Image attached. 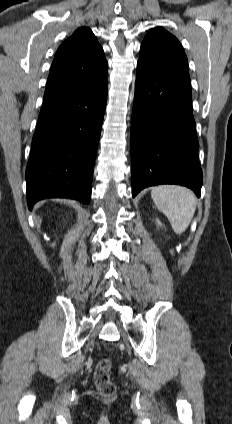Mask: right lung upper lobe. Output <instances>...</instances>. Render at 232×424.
I'll list each match as a JSON object with an SVG mask.
<instances>
[{"mask_svg": "<svg viewBox=\"0 0 232 424\" xmlns=\"http://www.w3.org/2000/svg\"><path fill=\"white\" fill-rule=\"evenodd\" d=\"M107 81V61L95 35L80 27L57 50L44 98Z\"/></svg>", "mask_w": 232, "mask_h": 424, "instance_id": "obj_1", "label": "right lung upper lobe"}]
</instances>
